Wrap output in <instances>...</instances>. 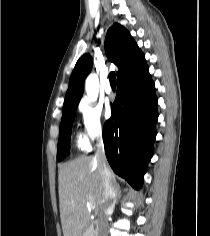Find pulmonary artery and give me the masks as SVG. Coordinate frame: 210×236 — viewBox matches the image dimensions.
I'll use <instances>...</instances> for the list:
<instances>
[{
  "instance_id": "pulmonary-artery-1",
  "label": "pulmonary artery",
  "mask_w": 210,
  "mask_h": 236,
  "mask_svg": "<svg viewBox=\"0 0 210 236\" xmlns=\"http://www.w3.org/2000/svg\"><path fill=\"white\" fill-rule=\"evenodd\" d=\"M105 92L107 94H111L112 93V88H111V86H110L108 81L105 83Z\"/></svg>"
}]
</instances>
